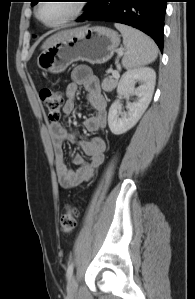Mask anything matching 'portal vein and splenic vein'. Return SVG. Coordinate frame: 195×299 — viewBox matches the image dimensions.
Segmentation results:
<instances>
[{"mask_svg": "<svg viewBox=\"0 0 195 299\" xmlns=\"http://www.w3.org/2000/svg\"><path fill=\"white\" fill-rule=\"evenodd\" d=\"M112 76H113L114 78H119V73H118V71H112Z\"/></svg>", "mask_w": 195, "mask_h": 299, "instance_id": "obj_1", "label": "portal vein and splenic vein"}]
</instances>
